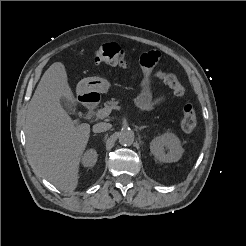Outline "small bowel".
<instances>
[{
	"label": "small bowel",
	"instance_id": "small-bowel-1",
	"mask_svg": "<svg viewBox=\"0 0 246 246\" xmlns=\"http://www.w3.org/2000/svg\"><path fill=\"white\" fill-rule=\"evenodd\" d=\"M160 59V53L157 51L149 52L142 57V65L145 70V79L142 84V89L136 98V105L142 111H149L154 106L162 103L165 96L154 98L152 95V69Z\"/></svg>",
	"mask_w": 246,
	"mask_h": 246
}]
</instances>
